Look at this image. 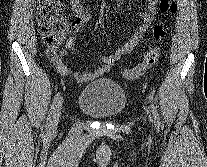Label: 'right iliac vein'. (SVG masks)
Instances as JSON below:
<instances>
[{
  "mask_svg": "<svg viewBox=\"0 0 207 167\" xmlns=\"http://www.w3.org/2000/svg\"><path fill=\"white\" fill-rule=\"evenodd\" d=\"M61 109H62V103L59 102L58 106L53 114V119H52V123H51V127H50L51 131H55L57 129V125H58L60 115H61Z\"/></svg>",
  "mask_w": 207,
  "mask_h": 167,
  "instance_id": "1",
  "label": "right iliac vein"
}]
</instances>
